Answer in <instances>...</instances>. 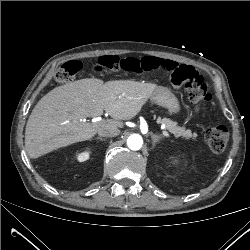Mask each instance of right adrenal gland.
<instances>
[{
	"mask_svg": "<svg viewBox=\"0 0 250 250\" xmlns=\"http://www.w3.org/2000/svg\"><path fill=\"white\" fill-rule=\"evenodd\" d=\"M94 140L106 141L104 138H101V137H96L94 138Z\"/></svg>",
	"mask_w": 250,
	"mask_h": 250,
	"instance_id": "1",
	"label": "right adrenal gland"
}]
</instances>
